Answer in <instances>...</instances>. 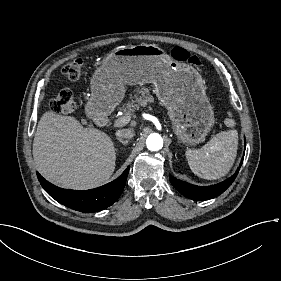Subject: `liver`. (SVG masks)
Instances as JSON below:
<instances>
[{
  "mask_svg": "<svg viewBox=\"0 0 281 281\" xmlns=\"http://www.w3.org/2000/svg\"><path fill=\"white\" fill-rule=\"evenodd\" d=\"M32 149L41 175L67 189L99 187L115 167L114 147L104 132L49 111L38 122Z\"/></svg>",
  "mask_w": 281,
  "mask_h": 281,
  "instance_id": "obj_1",
  "label": "liver"
}]
</instances>
